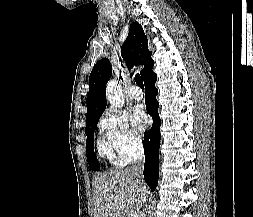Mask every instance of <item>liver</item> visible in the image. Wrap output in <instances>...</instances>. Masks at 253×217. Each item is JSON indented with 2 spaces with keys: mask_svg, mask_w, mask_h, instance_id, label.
<instances>
[{
  "mask_svg": "<svg viewBox=\"0 0 253 217\" xmlns=\"http://www.w3.org/2000/svg\"><path fill=\"white\" fill-rule=\"evenodd\" d=\"M133 177L126 170L102 173L93 178L94 217H138Z\"/></svg>",
  "mask_w": 253,
  "mask_h": 217,
  "instance_id": "6515ba94",
  "label": "liver"
}]
</instances>
